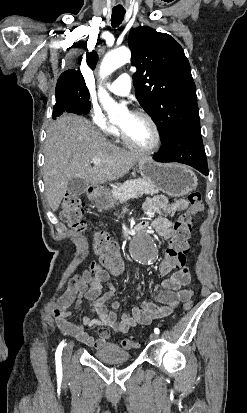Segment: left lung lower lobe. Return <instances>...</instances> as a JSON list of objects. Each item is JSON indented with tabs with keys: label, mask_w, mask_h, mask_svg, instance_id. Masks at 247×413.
Masks as SVG:
<instances>
[{
	"label": "left lung lower lobe",
	"mask_w": 247,
	"mask_h": 413,
	"mask_svg": "<svg viewBox=\"0 0 247 413\" xmlns=\"http://www.w3.org/2000/svg\"><path fill=\"white\" fill-rule=\"evenodd\" d=\"M158 162H179L190 165L204 175H208V166L201 133L197 131H179L170 135L153 157Z\"/></svg>",
	"instance_id": "0a47b994"
}]
</instances>
